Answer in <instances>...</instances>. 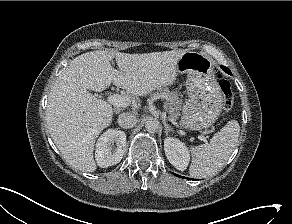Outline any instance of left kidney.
<instances>
[{
    "label": "left kidney",
    "mask_w": 292,
    "mask_h": 224,
    "mask_svg": "<svg viewBox=\"0 0 292 224\" xmlns=\"http://www.w3.org/2000/svg\"><path fill=\"white\" fill-rule=\"evenodd\" d=\"M164 150L167 159L176 169L184 171L187 168L190 153L183 142L173 137H167L164 139Z\"/></svg>",
    "instance_id": "left-kidney-1"
}]
</instances>
